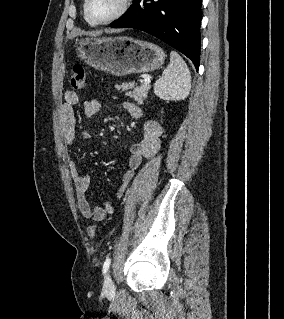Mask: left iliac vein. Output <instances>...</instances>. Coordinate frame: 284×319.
<instances>
[{
  "label": "left iliac vein",
  "mask_w": 284,
  "mask_h": 319,
  "mask_svg": "<svg viewBox=\"0 0 284 319\" xmlns=\"http://www.w3.org/2000/svg\"><path fill=\"white\" fill-rule=\"evenodd\" d=\"M103 288L104 291L109 294L114 293L115 291V285L109 273L105 276Z\"/></svg>",
  "instance_id": "left-iliac-vein-1"
}]
</instances>
